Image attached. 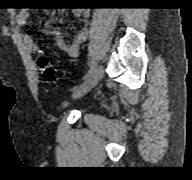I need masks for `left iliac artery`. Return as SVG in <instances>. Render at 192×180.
Instances as JSON below:
<instances>
[{"label": "left iliac artery", "instance_id": "44dca946", "mask_svg": "<svg viewBox=\"0 0 192 180\" xmlns=\"http://www.w3.org/2000/svg\"><path fill=\"white\" fill-rule=\"evenodd\" d=\"M95 69H96V63L95 61H92L90 69L88 70L84 78L87 79L94 72Z\"/></svg>", "mask_w": 192, "mask_h": 180}]
</instances>
